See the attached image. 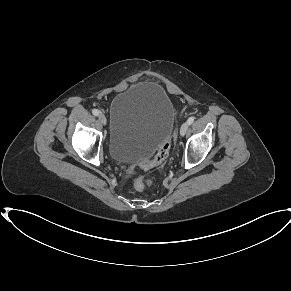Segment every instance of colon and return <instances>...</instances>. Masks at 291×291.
Returning <instances> with one entry per match:
<instances>
[{"label": "colon", "instance_id": "5ec220e1", "mask_svg": "<svg viewBox=\"0 0 291 291\" xmlns=\"http://www.w3.org/2000/svg\"><path fill=\"white\" fill-rule=\"evenodd\" d=\"M171 147V140H167L163 143L157 150L154 157L150 160H145L140 163V168L142 170H150L151 168L161 164L168 156ZM150 183L149 179L139 177L133 180L132 187L136 191H143L147 184Z\"/></svg>", "mask_w": 291, "mask_h": 291}]
</instances>
